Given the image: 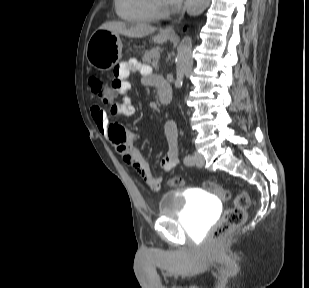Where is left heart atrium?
Segmentation results:
<instances>
[{"mask_svg": "<svg viewBox=\"0 0 309 288\" xmlns=\"http://www.w3.org/2000/svg\"><path fill=\"white\" fill-rule=\"evenodd\" d=\"M165 4L170 6V7H175L177 5H179V3L181 2V0H164Z\"/></svg>", "mask_w": 309, "mask_h": 288, "instance_id": "obj_1", "label": "left heart atrium"}]
</instances>
